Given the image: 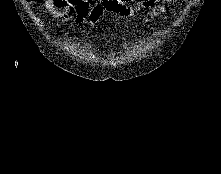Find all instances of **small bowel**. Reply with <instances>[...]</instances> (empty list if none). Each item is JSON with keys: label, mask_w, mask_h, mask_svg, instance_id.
<instances>
[{"label": "small bowel", "mask_w": 221, "mask_h": 174, "mask_svg": "<svg viewBox=\"0 0 221 174\" xmlns=\"http://www.w3.org/2000/svg\"><path fill=\"white\" fill-rule=\"evenodd\" d=\"M169 0H142L131 5L133 0H43V8L56 20H73L76 24L95 22L103 11L121 17H132L142 10H149L153 17L158 12L156 4Z\"/></svg>", "instance_id": "1"}]
</instances>
